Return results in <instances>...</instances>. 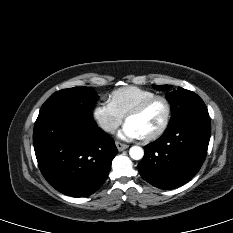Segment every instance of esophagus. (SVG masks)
I'll return each instance as SVG.
<instances>
[{"mask_svg": "<svg viewBox=\"0 0 233 233\" xmlns=\"http://www.w3.org/2000/svg\"><path fill=\"white\" fill-rule=\"evenodd\" d=\"M116 147H117L118 151H123V150L127 149L129 146L127 144H124V143L117 141Z\"/></svg>", "mask_w": 233, "mask_h": 233, "instance_id": "34e87169", "label": "esophagus"}]
</instances>
